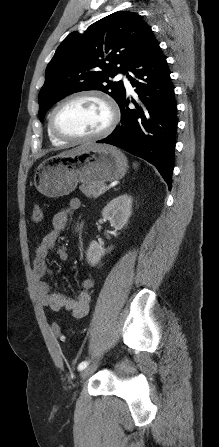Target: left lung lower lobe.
Masks as SVG:
<instances>
[{"instance_id":"obj_1","label":"left lung lower lobe","mask_w":219,"mask_h":447,"mask_svg":"<svg viewBox=\"0 0 219 447\" xmlns=\"http://www.w3.org/2000/svg\"><path fill=\"white\" fill-rule=\"evenodd\" d=\"M127 77L143 107L128 108L126 93L119 103L121 124L98 143H108L153 164L171 188L177 130L174 87L166 57L152 34L134 57ZM135 103V101H132Z\"/></svg>"}]
</instances>
